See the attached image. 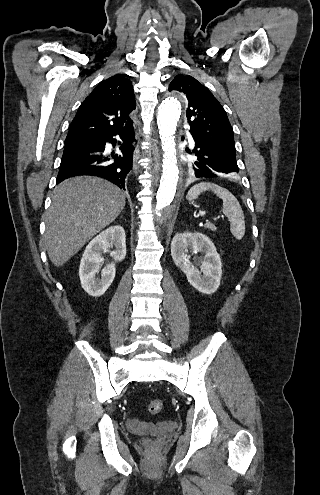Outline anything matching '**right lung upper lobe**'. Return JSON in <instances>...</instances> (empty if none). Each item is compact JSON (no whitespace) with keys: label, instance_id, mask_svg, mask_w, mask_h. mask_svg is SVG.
Wrapping results in <instances>:
<instances>
[{"label":"right lung upper lobe","instance_id":"obj_1","mask_svg":"<svg viewBox=\"0 0 320 495\" xmlns=\"http://www.w3.org/2000/svg\"><path fill=\"white\" fill-rule=\"evenodd\" d=\"M136 108L134 90L127 75L117 74L100 82L80 105L65 142L102 136L132 126L129 114Z\"/></svg>","mask_w":320,"mask_h":495}]
</instances>
